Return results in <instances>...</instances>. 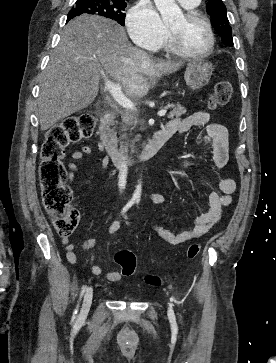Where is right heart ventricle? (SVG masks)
Returning <instances> with one entry per match:
<instances>
[{
    "instance_id": "e07e8e85",
    "label": "right heart ventricle",
    "mask_w": 276,
    "mask_h": 363,
    "mask_svg": "<svg viewBox=\"0 0 276 363\" xmlns=\"http://www.w3.org/2000/svg\"><path fill=\"white\" fill-rule=\"evenodd\" d=\"M169 50H171V48H170V44H169Z\"/></svg>"
}]
</instances>
